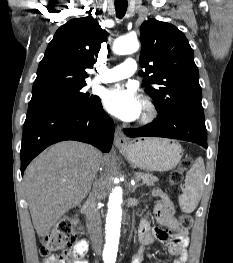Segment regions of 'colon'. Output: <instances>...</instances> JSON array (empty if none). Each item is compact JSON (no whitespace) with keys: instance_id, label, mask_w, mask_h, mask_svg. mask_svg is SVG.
Masks as SVG:
<instances>
[{"instance_id":"colon-1","label":"colon","mask_w":233,"mask_h":263,"mask_svg":"<svg viewBox=\"0 0 233 263\" xmlns=\"http://www.w3.org/2000/svg\"><path fill=\"white\" fill-rule=\"evenodd\" d=\"M191 159L185 158L180 168L170 177L172 185L181 180L182 172L191 166ZM179 224L184 229L192 226V218L187 214L179 216ZM77 219L66 218L58 223L56 228L43 239L40 255L43 263H74L72 259L76 257V247L79 243L75 227Z\"/></svg>"}]
</instances>
